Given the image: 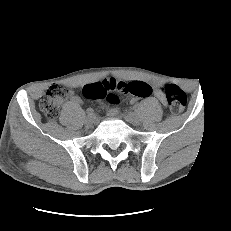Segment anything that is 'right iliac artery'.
Segmentation results:
<instances>
[{
	"label": "right iliac artery",
	"mask_w": 231,
	"mask_h": 231,
	"mask_svg": "<svg viewBox=\"0 0 231 231\" xmlns=\"http://www.w3.org/2000/svg\"><path fill=\"white\" fill-rule=\"evenodd\" d=\"M87 114L88 115H94V110L92 108L87 109Z\"/></svg>",
	"instance_id": "right-iliac-artery-1"
}]
</instances>
